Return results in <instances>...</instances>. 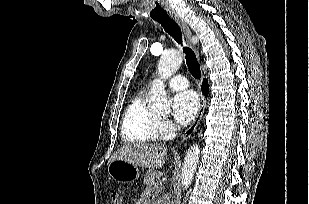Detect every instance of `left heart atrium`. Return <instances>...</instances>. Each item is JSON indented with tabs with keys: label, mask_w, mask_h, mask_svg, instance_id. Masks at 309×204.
Here are the masks:
<instances>
[{
	"label": "left heart atrium",
	"mask_w": 309,
	"mask_h": 204,
	"mask_svg": "<svg viewBox=\"0 0 309 204\" xmlns=\"http://www.w3.org/2000/svg\"><path fill=\"white\" fill-rule=\"evenodd\" d=\"M199 109V99L193 91H183L176 94L172 100V113L179 125H187L196 116Z\"/></svg>",
	"instance_id": "obj_1"
}]
</instances>
